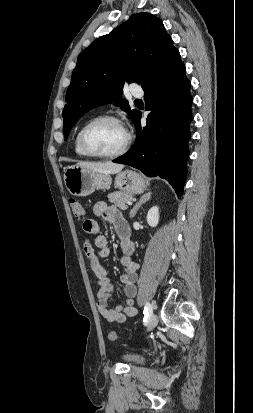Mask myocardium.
<instances>
[{
    "label": "myocardium",
    "instance_id": "1",
    "mask_svg": "<svg viewBox=\"0 0 253 413\" xmlns=\"http://www.w3.org/2000/svg\"><path fill=\"white\" fill-rule=\"evenodd\" d=\"M103 122H112L115 124H118L120 127L123 128V130L125 131V135H126V139L125 142L123 144V146L112 153H97L94 152L93 150H91L87 144V134L89 132V130L94 127L95 125L99 124V123H103ZM132 143V136L130 134V132L126 129V127L124 126L123 122L112 115H102V116H98L95 117L93 119H91L90 121H88L81 129L80 134H79V145L81 150L90 157H96V158H116L119 156L124 155L130 148Z\"/></svg>",
    "mask_w": 253,
    "mask_h": 413
}]
</instances>
